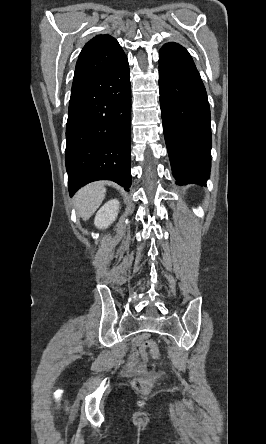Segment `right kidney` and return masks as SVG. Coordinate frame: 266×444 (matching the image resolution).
Here are the masks:
<instances>
[{
    "instance_id": "obj_1",
    "label": "right kidney",
    "mask_w": 266,
    "mask_h": 444,
    "mask_svg": "<svg viewBox=\"0 0 266 444\" xmlns=\"http://www.w3.org/2000/svg\"><path fill=\"white\" fill-rule=\"evenodd\" d=\"M119 207L120 203L117 199H111L105 203L95 216V226L99 229L110 226L117 218Z\"/></svg>"
}]
</instances>
